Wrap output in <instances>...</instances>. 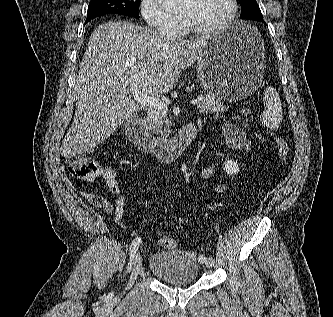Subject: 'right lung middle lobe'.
Listing matches in <instances>:
<instances>
[{
    "mask_svg": "<svg viewBox=\"0 0 333 317\" xmlns=\"http://www.w3.org/2000/svg\"><path fill=\"white\" fill-rule=\"evenodd\" d=\"M141 0H91L88 6L86 22L108 13L123 14L138 18Z\"/></svg>",
    "mask_w": 333,
    "mask_h": 317,
    "instance_id": "obj_1",
    "label": "right lung middle lobe"
}]
</instances>
